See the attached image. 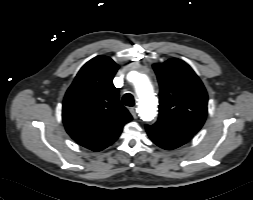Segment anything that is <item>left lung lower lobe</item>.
I'll return each instance as SVG.
<instances>
[{"instance_id":"left-lung-lower-lobe-1","label":"left lung lower lobe","mask_w":253,"mask_h":200,"mask_svg":"<svg viewBox=\"0 0 253 200\" xmlns=\"http://www.w3.org/2000/svg\"><path fill=\"white\" fill-rule=\"evenodd\" d=\"M146 130L151 140L166 150H172L182 146L193 136V134L170 130L156 125H147Z\"/></svg>"}]
</instances>
